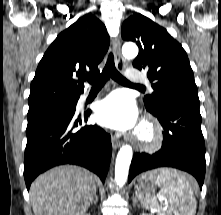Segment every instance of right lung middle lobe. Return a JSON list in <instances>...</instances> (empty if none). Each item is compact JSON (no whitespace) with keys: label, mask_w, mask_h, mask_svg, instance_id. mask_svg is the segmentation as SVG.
Listing matches in <instances>:
<instances>
[{"label":"right lung middle lobe","mask_w":221,"mask_h":215,"mask_svg":"<svg viewBox=\"0 0 221 215\" xmlns=\"http://www.w3.org/2000/svg\"><path fill=\"white\" fill-rule=\"evenodd\" d=\"M78 99L76 100H70V101H65V102H60V103H56V104H51V105H46V106H40V107H35V108H29L28 114H27V118L28 120L33 119L34 117H36L37 115L50 111V110H54L57 108H67V107H75L77 104Z\"/></svg>","instance_id":"obj_1"}]
</instances>
